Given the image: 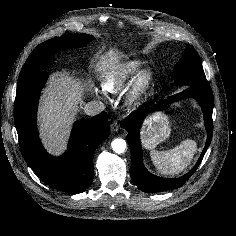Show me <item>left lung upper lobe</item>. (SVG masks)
<instances>
[{"label":"left lung upper lobe","instance_id":"obj_1","mask_svg":"<svg viewBox=\"0 0 236 236\" xmlns=\"http://www.w3.org/2000/svg\"><path fill=\"white\" fill-rule=\"evenodd\" d=\"M173 79L175 84L186 86L208 83L201 59L192 46L186 45L185 54L174 68Z\"/></svg>","mask_w":236,"mask_h":236}]
</instances>
